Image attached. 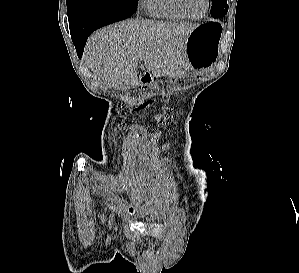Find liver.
Listing matches in <instances>:
<instances>
[{
	"label": "liver",
	"instance_id": "obj_1",
	"mask_svg": "<svg viewBox=\"0 0 299 273\" xmlns=\"http://www.w3.org/2000/svg\"><path fill=\"white\" fill-rule=\"evenodd\" d=\"M196 23L127 20L96 31L85 49L93 73L109 87L129 88L139 84L137 68L156 77L177 76L189 69L186 43Z\"/></svg>",
	"mask_w": 299,
	"mask_h": 273
}]
</instances>
